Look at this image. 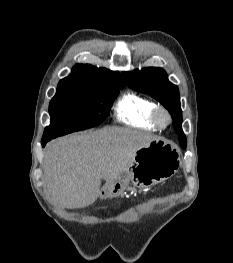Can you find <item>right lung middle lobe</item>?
I'll list each match as a JSON object with an SVG mask.
<instances>
[{
    "mask_svg": "<svg viewBox=\"0 0 233 263\" xmlns=\"http://www.w3.org/2000/svg\"><path fill=\"white\" fill-rule=\"evenodd\" d=\"M112 88L94 94H71L55 96L50 101V125L44 130L42 140L84 130L101 124L119 94Z\"/></svg>",
    "mask_w": 233,
    "mask_h": 263,
    "instance_id": "dd1d6c3e",
    "label": "right lung middle lobe"
}]
</instances>
